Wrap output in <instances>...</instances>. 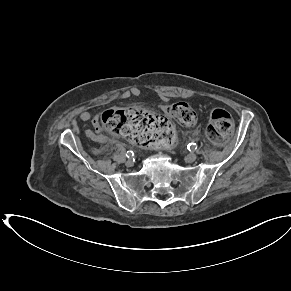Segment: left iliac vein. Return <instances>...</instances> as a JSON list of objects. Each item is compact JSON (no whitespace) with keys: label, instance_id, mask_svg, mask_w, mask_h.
Segmentation results:
<instances>
[{"label":"left iliac vein","instance_id":"left-iliac-vein-1","mask_svg":"<svg viewBox=\"0 0 291 291\" xmlns=\"http://www.w3.org/2000/svg\"><path fill=\"white\" fill-rule=\"evenodd\" d=\"M196 159H197V155L194 154V153H189V154L186 156V161L189 162V163L194 162Z\"/></svg>","mask_w":291,"mask_h":291}]
</instances>
